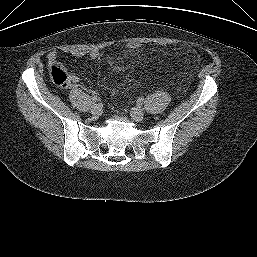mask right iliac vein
<instances>
[{
  "label": "right iliac vein",
  "mask_w": 257,
  "mask_h": 257,
  "mask_svg": "<svg viewBox=\"0 0 257 257\" xmlns=\"http://www.w3.org/2000/svg\"><path fill=\"white\" fill-rule=\"evenodd\" d=\"M90 111L94 116H100L102 114V108L99 104L92 105Z\"/></svg>",
  "instance_id": "1"
}]
</instances>
